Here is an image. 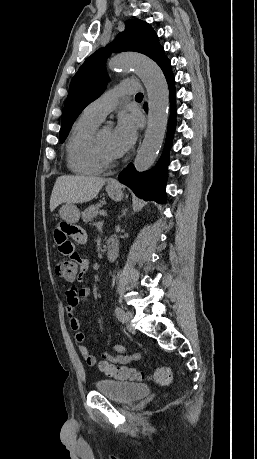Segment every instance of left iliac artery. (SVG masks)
Returning a JSON list of instances; mask_svg holds the SVG:
<instances>
[{
    "mask_svg": "<svg viewBox=\"0 0 257 459\" xmlns=\"http://www.w3.org/2000/svg\"><path fill=\"white\" fill-rule=\"evenodd\" d=\"M115 314L119 321L125 322L124 311L120 307H116Z\"/></svg>",
    "mask_w": 257,
    "mask_h": 459,
    "instance_id": "44dca946",
    "label": "left iliac artery"
}]
</instances>
